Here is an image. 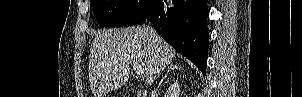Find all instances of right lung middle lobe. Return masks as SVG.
<instances>
[{
  "instance_id": "1",
  "label": "right lung middle lobe",
  "mask_w": 302,
  "mask_h": 97,
  "mask_svg": "<svg viewBox=\"0 0 302 97\" xmlns=\"http://www.w3.org/2000/svg\"><path fill=\"white\" fill-rule=\"evenodd\" d=\"M149 0H91L100 27L127 25Z\"/></svg>"
}]
</instances>
